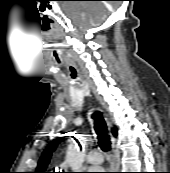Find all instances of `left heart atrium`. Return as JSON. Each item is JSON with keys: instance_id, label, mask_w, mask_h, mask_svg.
<instances>
[{"instance_id": "left-heart-atrium-1", "label": "left heart atrium", "mask_w": 170, "mask_h": 173, "mask_svg": "<svg viewBox=\"0 0 170 173\" xmlns=\"http://www.w3.org/2000/svg\"><path fill=\"white\" fill-rule=\"evenodd\" d=\"M94 170V172H101L102 169L100 168H92Z\"/></svg>"}]
</instances>
